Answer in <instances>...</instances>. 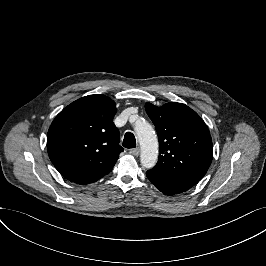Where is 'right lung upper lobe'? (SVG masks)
Masks as SVG:
<instances>
[{
	"mask_svg": "<svg viewBox=\"0 0 266 266\" xmlns=\"http://www.w3.org/2000/svg\"><path fill=\"white\" fill-rule=\"evenodd\" d=\"M116 104L101 94L82 97L64 108L47 134L51 162L68 180L86 185L108 174L124 150L113 123Z\"/></svg>",
	"mask_w": 266,
	"mask_h": 266,
	"instance_id": "right-lung-upper-lobe-1",
	"label": "right lung upper lobe"
}]
</instances>
